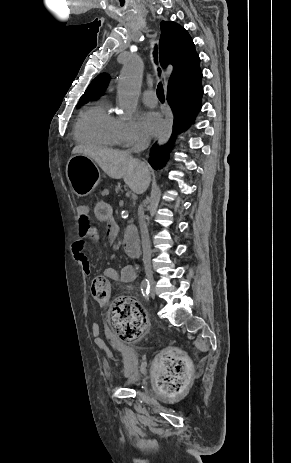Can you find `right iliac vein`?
I'll return each instance as SVG.
<instances>
[{
	"label": "right iliac vein",
	"mask_w": 291,
	"mask_h": 463,
	"mask_svg": "<svg viewBox=\"0 0 291 463\" xmlns=\"http://www.w3.org/2000/svg\"><path fill=\"white\" fill-rule=\"evenodd\" d=\"M150 282H151L152 285L154 284V280H153V279H150Z\"/></svg>",
	"instance_id": "right-iliac-vein-1"
}]
</instances>
